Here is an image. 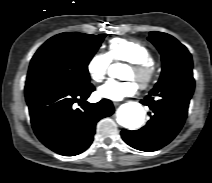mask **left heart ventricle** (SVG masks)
<instances>
[{"mask_svg": "<svg viewBox=\"0 0 212 183\" xmlns=\"http://www.w3.org/2000/svg\"><path fill=\"white\" fill-rule=\"evenodd\" d=\"M123 79L132 80L135 82L138 81L137 75L133 72V70L130 67H128L126 71L124 72Z\"/></svg>", "mask_w": 212, "mask_h": 183, "instance_id": "1", "label": "left heart ventricle"}]
</instances>
